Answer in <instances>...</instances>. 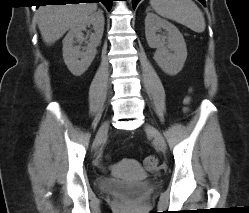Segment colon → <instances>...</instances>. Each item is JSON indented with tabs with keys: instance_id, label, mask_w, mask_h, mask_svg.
<instances>
[{
	"instance_id": "5ec220e1",
	"label": "colon",
	"mask_w": 249,
	"mask_h": 213,
	"mask_svg": "<svg viewBox=\"0 0 249 213\" xmlns=\"http://www.w3.org/2000/svg\"><path fill=\"white\" fill-rule=\"evenodd\" d=\"M190 102H191V96H187L185 98L186 105H189ZM143 165L147 170H155L159 166V159L154 155L147 156L143 160Z\"/></svg>"
}]
</instances>
